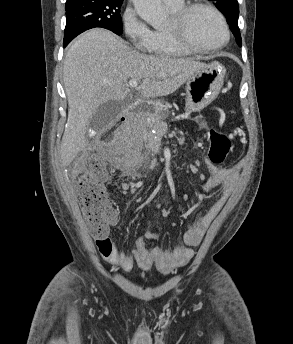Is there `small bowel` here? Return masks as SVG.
Listing matches in <instances>:
<instances>
[{
    "label": "small bowel",
    "mask_w": 293,
    "mask_h": 344,
    "mask_svg": "<svg viewBox=\"0 0 293 344\" xmlns=\"http://www.w3.org/2000/svg\"><path fill=\"white\" fill-rule=\"evenodd\" d=\"M206 168L208 176L200 186L201 191L209 192L217 186H222V193L203 216L190 224L182 245L170 251L159 247L148 249L145 239L156 240L158 238V234L152 231L148 232L145 238L137 239L131 253H127L118 248L110 237L105 236L98 238L95 242L101 256L123 272L130 271L135 263L143 269L155 265L165 272L186 265L194 255L193 247L200 244L210 223L235 190L240 171V165L218 168L208 162Z\"/></svg>",
    "instance_id": "small-bowel-1"
}]
</instances>
